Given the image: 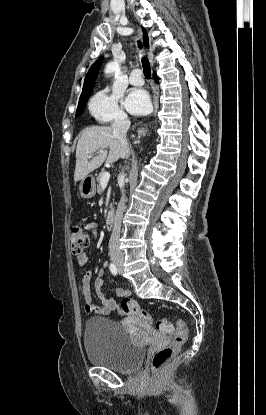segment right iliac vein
<instances>
[{"instance_id":"right-iliac-vein-1","label":"right iliac vein","mask_w":266,"mask_h":415,"mask_svg":"<svg viewBox=\"0 0 266 415\" xmlns=\"http://www.w3.org/2000/svg\"><path fill=\"white\" fill-rule=\"evenodd\" d=\"M115 263H116L118 266H121V261H120V260H115Z\"/></svg>"}]
</instances>
